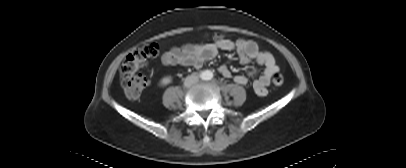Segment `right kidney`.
<instances>
[{
  "label": "right kidney",
  "mask_w": 406,
  "mask_h": 168,
  "mask_svg": "<svg viewBox=\"0 0 406 168\" xmlns=\"http://www.w3.org/2000/svg\"><path fill=\"white\" fill-rule=\"evenodd\" d=\"M171 82V77H164L162 80H161V85H167V84H169Z\"/></svg>",
  "instance_id": "right-kidney-1"
}]
</instances>
